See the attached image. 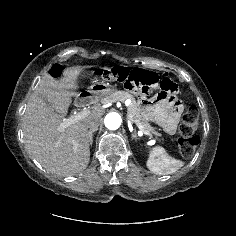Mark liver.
Returning a JSON list of instances; mask_svg holds the SVG:
<instances>
[{
    "mask_svg": "<svg viewBox=\"0 0 236 236\" xmlns=\"http://www.w3.org/2000/svg\"><path fill=\"white\" fill-rule=\"evenodd\" d=\"M90 67H68L59 80L45 74L30 96L23 116L26 148L45 169L56 175H74L89 164L90 144L86 122L91 118H100L104 109L94 107L80 121L64 129L60 125L68 113L72 97H80L73 92L79 88V77L85 68ZM42 97L53 109L46 105Z\"/></svg>",
    "mask_w": 236,
    "mask_h": 236,
    "instance_id": "liver-1",
    "label": "liver"
}]
</instances>
